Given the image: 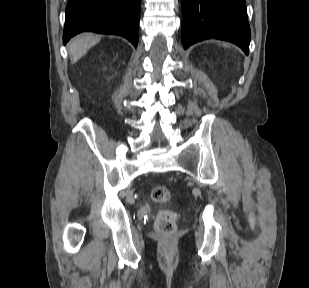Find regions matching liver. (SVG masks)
<instances>
[{
	"label": "liver",
	"mask_w": 309,
	"mask_h": 288,
	"mask_svg": "<svg viewBox=\"0 0 309 288\" xmlns=\"http://www.w3.org/2000/svg\"><path fill=\"white\" fill-rule=\"evenodd\" d=\"M100 36L84 33L75 37L68 45L71 63H76L87 51L99 43Z\"/></svg>",
	"instance_id": "liver-1"
}]
</instances>
